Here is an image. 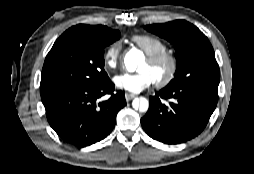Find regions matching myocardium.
Segmentation results:
<instances>
[{"instance_id": "obj_1", "label": "myocardium", "mask_w": 254, "mask_h": 174, "mask_svg": "<svg viewBox=\"0 0 254 174\" xmlns=\"http://www.w3.org/2000/svg\"><path fill=\"white\" fill-rule=\"evenodd\" d=\"M146 60L151 65H157L162 62H166L168 64V71L165 77L161 80L155 81L157 88H165L174 80L178 70V60L173 53L169 51H162L153 55H148Z\"/></svg>"}]
</instances>
